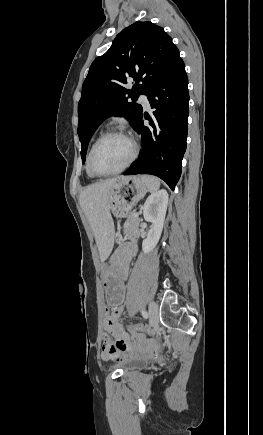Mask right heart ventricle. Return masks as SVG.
Listing matches in <instances>:
<instances>
[{
	"label": "right heart ventricle",
	"instance_id": "obj_1",
	"mask_svg": "<svg viewBox=\"0 0 263 435\" xmlns=\"http://www.w3.org/2000/svg\"><path fill=\"white\" fill-rule=\"evenodd\" d=\"M88 157V156H87ZM85 169H86V173H87V175L90 177V178H95V177H97L96 175H94L90 170H89V168H88V164H87V160H86V167H85Z\"/></svg>",
	"mask_w": 263,
	"mask_h": 435
}]
</instances>
